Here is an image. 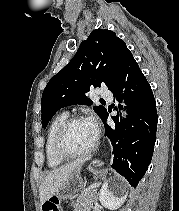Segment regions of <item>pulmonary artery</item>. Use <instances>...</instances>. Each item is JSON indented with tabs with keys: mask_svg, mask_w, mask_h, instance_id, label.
<instances>
[{
	"mask_svg": "<svg viewBox=\"0 0 179 211\" xmlns=\"http://www.w3.org/2000/svg\"><path fill=\"white\" fill-rule=\"evenodd\" d=\"M99 96L103 99H107V100H112L113 98V94L110 90L106 89V88H101L99 90Z\"/></svg>",
	"mask_w": 179,
	"mask_h": 211,
	"instance_id": "e3ab8cb5",
	"label": "pulmonary artery"
}]
</instances>
